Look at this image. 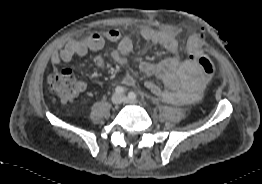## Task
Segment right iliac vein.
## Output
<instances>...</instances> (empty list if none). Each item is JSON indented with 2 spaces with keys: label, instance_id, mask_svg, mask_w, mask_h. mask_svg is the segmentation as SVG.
Instances as JSON below:
<instances>
[{
  "label": "right iliac vein",
  "instance_id": "63e3f726",
  "mask_svg": "<svg viewBox=\"0 0 262 184\" xmlns=\"http://www.w3.org/2000/svg\"><path fill=\"white\" fill-rule=\"evenodd\" d=\"M111 102H112V104H114V105H119V104H121V102H122V97H121V95L118 94V93L113 94L112 97H111Z\"/></svg>",
  "mask_w": 262,
  "mask_h": 184
}]
</instances>
